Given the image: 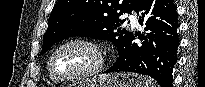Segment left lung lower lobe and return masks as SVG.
Listing matches in <instances>:
<instances>
[{"mask_svg": "<svg viewBox=\"0 0 205 87\" xmlns=\"http://www.w3.org/2000/svg\"><path fill=\"white\" fill-rule=\"evenodd\" d=\"M139 23L146 25L147 36L133 34L106 72H135L155 79L161 87H172V71L177 62L179 46L177 9L173 0H139L135 7ZM145 40L142 45L135 37Z\"/></svg>", "mask_w": 205, "mask_h": 87, "instance_id": "obj_1", "label": "left lung lower lobe"}]
</instances>
